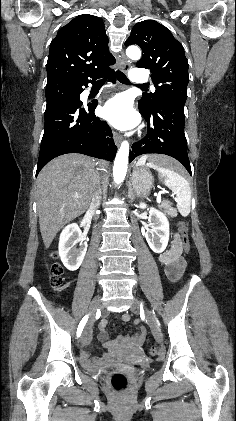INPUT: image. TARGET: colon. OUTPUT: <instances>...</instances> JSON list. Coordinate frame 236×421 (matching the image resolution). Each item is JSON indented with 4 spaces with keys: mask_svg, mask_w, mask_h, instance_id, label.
<instances>
[{
    "mask_svg": "<svg viewBox=\"0 0 236 421\" xmlns=\"http://www.w3.org/2000/svg\"><path fill=\"white\" fill-rule=\"evenodd\" d=\"M178 231L180 234L179 238H180L181 245L184 251L188 253L190 251V243H189V238H188L187 225L184 222H180L178 225ZM48 270L50 272V281H51L52 287L56 291H60L64 282L62 266L59 263L54 262V263L48 264ZM149 355L152 357L156 356L157 349L151 348L149 350ZM128 383H129V379L125 373L115 372L111 377V384L113 388L117 391L122 392L126 390L128 387Z\"/></svg>",
    "mask_w": 236,
    "mask_h": 421,
    "instance_id": "colon-1",
    "label": "colon"
}]
</instances>
